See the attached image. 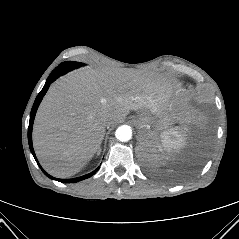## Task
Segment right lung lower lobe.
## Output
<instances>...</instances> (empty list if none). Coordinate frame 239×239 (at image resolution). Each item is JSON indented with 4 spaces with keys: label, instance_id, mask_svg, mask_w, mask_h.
<instances>
[{
    "label": "right lung lower lobe",
    "instance_id": "1",
    "mask_svg": "<svg viewBox=\"0 0 239 239\" xmlns=\"http://www.w3.org/2000/svg\"><path fill=\"white\" fill-rule=\"evenodd\" d=\"M54 77H52L51 79L48 77L43 89L40 91V93L38 94V96L36 97V100L33 104V107H32V110H31V114H30V121H29V127H28V142H29V147H30V150L32 152V155L34 156L35 160L37 161L36 159V156H35V153H34V150H33V146H32V127H33V122H34V117H35V114H36V111H37V108L43 98V96L45 95V93L47 92L48 88H49V85L54 81ZM39 165V163H38ZM40 166V165H39ZM41 170L44 172V174L46 176H48L49 178L51 179H54V180H58L60 182H63V183H75V182H79L81 180H84V179H87L89 177H91L92 175H94L99 167L97 169H95L93 172L87 174V175H84V176H81V177H77V178H73V179H57V178H54L52 176H50L48 173H46L42 167L40 166Z\"/></svg>",
    "mask_w": 239,
    "mask_h": 239
}]
</instances>
